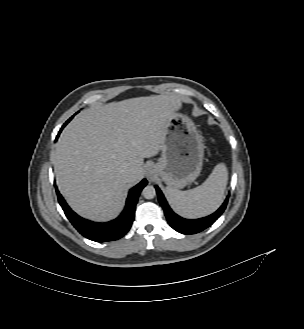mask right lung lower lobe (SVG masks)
Segmentation results:
<instances>
[{"label":"right lung lower lobe","mask_w":304,"mask_h":329,"mask_svg":"<svg viewBox=\"0 0 304 329\" xmlns=\"http://www.w3.org/2000/svg\"><path fill=\"white\" fill-rule=\"evenodd\" d=\"M65 125L66 123L60 129L56 138H58ZM146 184V179H143L138 185L133 187L129 192L124 211L117 219L107 223H96L81 218L70 209L57 188L56 192L58 201L64 210L65 215L72 225L78 230V232L90 240L96 242H106L118 240L129 231L134 219L139 194Z\"/></svg>","instance_id":"obj_1"}]
</instances>
